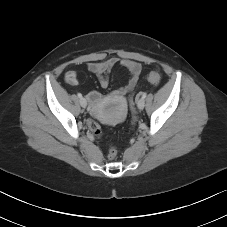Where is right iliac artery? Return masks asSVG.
I'll use <instances>...</instances> for the list:
<instances>
[{
  "instance_id": "82829eb1",
  "label": "right iliac artery",
  "mask_w": 227,
  "mask_h": 227,
  "mask_svg": "<svg viewBox=\"0 0 227 227\" xmlns=\"http://www.w3.org/2000/svg\"><path fill=\"white\" fill-rule=\"evenodd\" d=\"M77 96H78L79 98H82V94H81V93H78Z\"/></svg>"
}]
</instances>
